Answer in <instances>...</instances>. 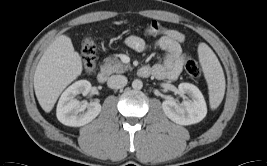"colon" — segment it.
<instances>
[{
	"label": "colon",
	"instance_id": "obj_1",
	"mask_svg": "<svg viewBox=\"0 0 267 166\" xmlns=\"http://www.w3.org/2000/svg\"><path fill=\"white\" fill-rule=\"evenodd\" d=\"M165 27L159 21H152L146 28L149 35H160L165 33ZM96 50L97 43L92 37H86L81 43L82 64L86 73L92 74L96 67ZM185 70L194 78L201 77V68L195 60L188 56H184Z\"/></svg>",
	"mask_w": 267,
	"mask_h": 166
}]
</instances>
